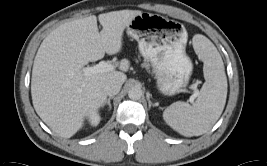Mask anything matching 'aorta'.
Returning <instances> with one entry per match:
<instances>
[{"label":"aorta","mask_w":267,"mask_h":166,"mask_svg":"<svg viewBox=\"0 0 267 166\" xmlns=\"http://www.w3.org/2000/svg\"><path fill=\"white\" fill-rule=\"evenodd\" d=\"M142 96V90L139 87H132L128 91V97L132 100H139Z\"/></svg>","instance_id":"1"}]
</instances>
